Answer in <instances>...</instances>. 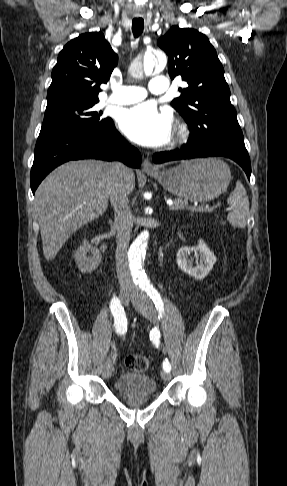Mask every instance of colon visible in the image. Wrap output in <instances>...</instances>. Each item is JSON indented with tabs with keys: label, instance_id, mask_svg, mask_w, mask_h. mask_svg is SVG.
<instances>
[{
	"label": "colon",
	"instance_id": "5ec220e1",
	"mask_svg": "<svg viewBox=\"0 0 287 486\" xmlns=\"http://www.w3.org/2000/svg\"><path fill=\"white\" fill-rule=\"evenodd\" d=\"M125 364L132 371L143 372L149 368L150 361L144 355L132 354L126 357Z\"/></svg>",
	"mask_w": 287,
	"mask_h": 486
}]
</instances>
